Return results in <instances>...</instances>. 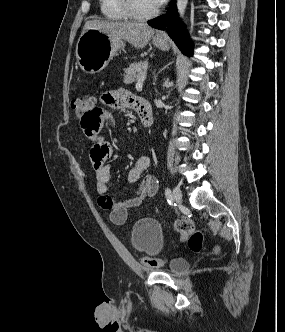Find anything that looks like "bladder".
<instances>
[{
  "instance_id": "1",
  "label": "bladder",
  "mask_w": 285,
  "mask_h": 332,
  "mask_svg": "<svg viewBox=\"0 0 285 332\" xmlns=\"http://www.w3.org/2000/svg\"><path fill=\"white\" fill-rule=\"evenodd\" d=\"M129 241L136 253L152 255L161 248L163 229L153 218L140 219L133 225ZM188 268V263L182 259H173L169 263V271L173 274L183 273Z\"/></svg>"
}]
</instances>
